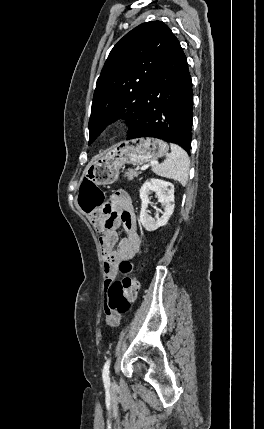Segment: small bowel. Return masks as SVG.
Returning a JSON list of instances; mask_svg holds the SVG:
<instances>
[{
    "instance_id": "obj_1",
    "label": "small bowel",
    "mask_w": 264,
    "mask_h": 429,
    "mask_svg": "<svg viewBox=\"0 0 264 429\" xmlns=\"http://www.w3.org/2000/svg\"><path fill=\"white\" fill-rule=\"evenodd\" d=\"M111 210H95L87 213L93 226L103 234L99 239L104 261L105 284L111 282L117 273V266L124 260L133 258L140 250L141 239L136 228V215L130 195L125 190H117L108 203ZM123 227L125 237L118 238L117 229ZM106 322L115 327L120 322V314L107 312Z\"/></svg>"
}]
</instances>
